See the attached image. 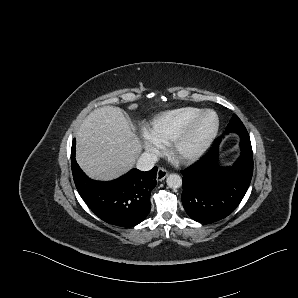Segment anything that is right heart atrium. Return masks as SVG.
Returning a JSON list of instances; mask_svg holds the SVG:
<instances>
[{"mask_svg":"<svg viewBox=\"0 0 298 298\" xmlns=\"http://www.w3.org/2000/svg\"><path fill=\"white\" fill-rule=\"evenodd\" d=\"M139 136L142 139V143L153 150L157 155L161 154L165 149L166 142L163 134L152 126L143 127Z\"/></svg>","mask_w":298,"mask_h":298,"instance_id":"obj_1","label":"right heart atrium"}]
</instances>
